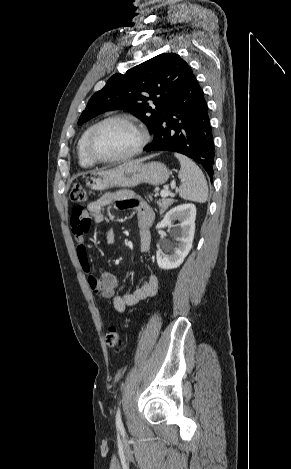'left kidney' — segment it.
<instances>
[{"mask_svg": "<svg viewBox=\"0 0 291 469\" xmlns=\"http://www.w3.org/2000/svg\"><path fill=\"white\" fill-rule=\"evenodd\" d=\"M195 219H196V207L194 204H182L172 208L166 213L163 220L159 222L156 229L164 228L178 220V231L176 239L178 245L175 248L166 246V251H171L170 254H164L161 249L156 252V259L159 268L161 269H174L179 267L185 257L188 255L192 248V242L195 233Z\"/></svg>", "mask_w": 291, "mask_h": 469, "instance_id": "left-kidney-1", "label": "left kidney"}]
</instances>
